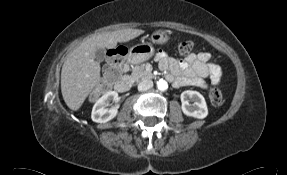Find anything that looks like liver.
Segmentation results:
<instances>
[{"label":"liver","mask_w":287,"mask_h":175,"mask_svg":"<svg viewBox=\"0 0 287 175\" xmlns=\"http://www.w3.org/2000/svg\"><path fill=\"white\" fill-rule=\"evenodd\" d=\"M144 30L121 29L85 39L66 58L61 71V92L66 105L78 110L100 81V64L95 61L98 48L113 49L117 43L130 41Z\"/></svg>","instance_id":"6515ba94"}]
</instances>
